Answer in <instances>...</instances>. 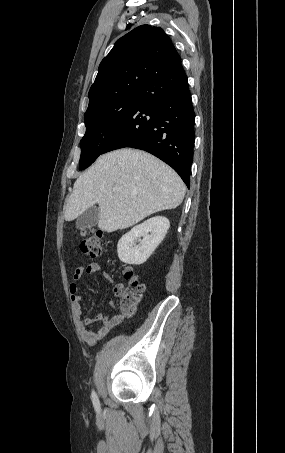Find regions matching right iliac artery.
I'll list each match as a JSON object with an SVG mask.
<instances>
[{"mask_svg":"<svg viewBox=\"0 0 285 453\" xmlns=\"http://www.w3.org/2000/svg\"><path fill=\"white\" fill-rule=\"evenodd\" d=\"M91 398H92V402H93L95 410L99 411L100 410V403H99V399H98L95 391L92 392Z\"/></svg>","mask_w":285,"mask_h":453,"instance_id":"right-iliac-artery-1","label":"right iliac artery"}]
</instances>
